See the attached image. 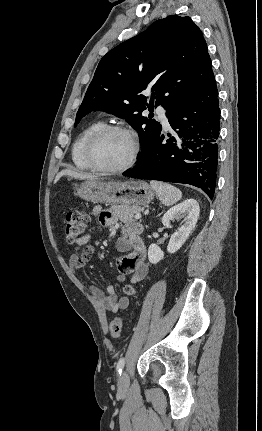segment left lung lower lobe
<instances>
[{
    "label": "left lung lower lobe",
    "instance_id": "left-lung-lower-lobe-1",
    "mask_svg": "<svg viewBox=\"0 0 262 431\" xmlns=\"http://www.w3.org/2000/svg\"><path fill=\"white\" fill-rule=\"evenodd\" d=\"M220 108L216 81L168 115L174 135L160 133L124 176L184 183L214 195L218 164Z\"/></svg>",
    "mask_w": 262,
    "mask_h": 431
}]
</instances>
